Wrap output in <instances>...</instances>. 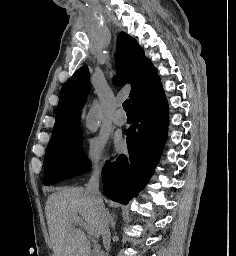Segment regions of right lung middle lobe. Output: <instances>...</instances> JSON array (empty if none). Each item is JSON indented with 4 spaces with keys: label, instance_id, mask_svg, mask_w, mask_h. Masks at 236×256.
Listing matches in <instances>:
<instances>
[{
    "label": "right lung middle lobe",
    "instance_id": "dd1d6c3e",
    "mask_svg": "<svg viewBox=\"0 0 236 256\" xmlns=\"http://www.w3.org/2000/svg\"><path fill=\"white\" fill-rule=\"evenodd\" d=\"M78 127L70 134L51 140L45 154L44 185H51L89 171Z\"/></svg>",
    "mask_w": 236,
    "mask_h": 256
}]
</instances>
